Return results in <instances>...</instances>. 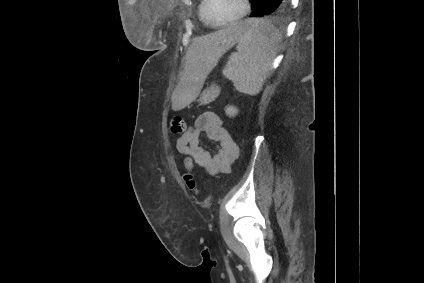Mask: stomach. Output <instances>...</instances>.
Segmentation results:
<instances>
[{"mask_svg": "<svg viewBox=\"0 0 424 283\" xmlns=\"http://www.w3.org/2000/svg\"><path fill=\"white\" fill-rule=\"evenodd\" d=\"M210 90H211V88L203 91L200 95V98L198 99V102H200L202 104L205 103V102H208V99H205V98H209L208 94L210 93Z\"/></svg>", "mask_w": 424, "mask_h": 283, "instance_id": "0dacf381", "label": "stomach"}]
</instances>
